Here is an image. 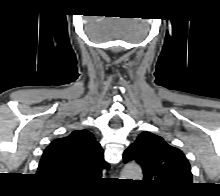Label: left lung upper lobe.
Segmentation results:
<instances>
[{
	"mask_svg": "<svg viewBox=\"0 0 220 196\" xmlns=\"http://www.w3.org/2000/svg\"><path fill=\"white\" fill-rule=\"evenodd\" d=\"M142 166L144 182L161 193H177L192 184L189 162L183 152L160 136L142 132L123 155Z\"/></svg>",
	"mask_w": 220,
	"mask_h": 196,
	"instance_id": "1",
	"label": "left lung upper lobe"
}]
</instances>
